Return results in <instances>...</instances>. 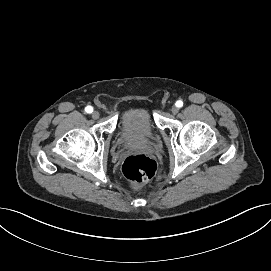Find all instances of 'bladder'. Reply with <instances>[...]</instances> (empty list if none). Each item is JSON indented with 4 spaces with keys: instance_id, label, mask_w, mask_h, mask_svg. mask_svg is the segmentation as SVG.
Returning <instances> with one entry per match:
<instances>
[{
    "instance_id": "31cf9c89",
    "label": "bladder",
    "mask_w": 271,
    "mask_h": 271,
    "mask_svg": "<svg viewBox=\"0 0 271 271\" xmlns=\"http://www.w3.org/2000/svg\"><path fill=\"white\" fill-rule=\"evenodd\" d=\"M116 132L123 142L147 143L154 133L152 119L142 107L129 108L120 114Z\"/></svg>"
}]
</instances>
